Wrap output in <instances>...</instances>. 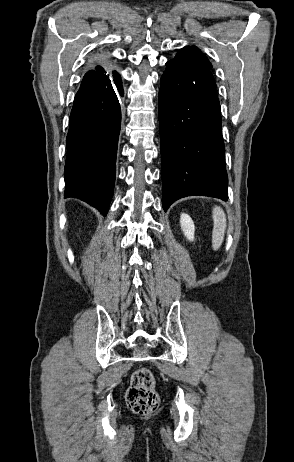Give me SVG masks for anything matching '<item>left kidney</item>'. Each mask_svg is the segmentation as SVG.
Masks as SVG:
<instances>
[{
    "label": "left kidney",
    "mask_w": 294,
    "mask_h": 462,
    "mask_svg": "<svg viewBox=\"0 0 294 462\" xmlns=\"http://www.w3.org/2000/svg\"><path fill=\"white\" fill-rule=\"evenodd\" d=\"M181 229L189 241L194 240L195 226L194 222L188 214L182 213L180 217Z\"/></svg>",
    "instance_id": "1"
}]
</instances>
